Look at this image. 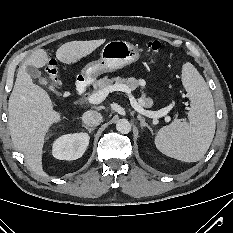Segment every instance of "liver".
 Here are the masks:
<instances>
[{
  "instance_id": "obj_1",
  "label": "liver",
  "mask_w": 233,
  "mask_h": 233,
  "mask_svg": "<svg viewBox=\"0 0 233 233\" xmlns=\"http://www.w3.org/2000/svg\"><path fill=\"white\" fill-rule=\"evenodd\" d=\"M104 42L105 39L67 42L56 51V57L62 63L74 64L90 55ZM48 62L49 57L45 50L34 51L19 68L8 102L12 142L24 155L30 169L40 176H48L42 166L46 134L50 127L59 123L63 117L53 109L49 94L33 83L26 67L40 68Z\"/></svg>"
}]
</instances>
